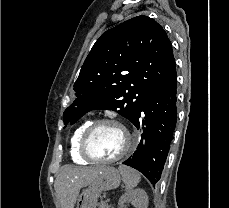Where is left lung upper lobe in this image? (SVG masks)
Masks as SVG:
<instances>
[{
	"label": "left lung upper lobe",
	"instance_id": "1",
	"mask_svg": "<svg viewBox=\"0 0 229 208\" xmlns=\"http://www.w3.org/2000/svg\"><path fill=\"white\" fill-rule=\"evenodd\" d=\"M176 76L171 41L163 27L137 16L104 32L93 45L74 84L77 99L65 110L74 124L94 109L114 110L132 121L147 95Z\"/></svg>",
	"mask_w": 229,
	"mask_h": 208
}]
</instances>
